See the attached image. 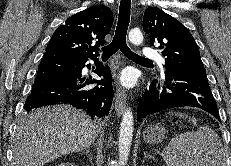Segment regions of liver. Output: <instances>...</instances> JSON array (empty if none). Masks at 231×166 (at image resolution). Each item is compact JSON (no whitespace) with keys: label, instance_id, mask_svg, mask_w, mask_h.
Returning <instances> with one entry per match:
<instances>
[{"label":"liver","instance_id":"liver-1","mask_svg":"<svg viewBox=\"0 0 231 166\" xmlns=\"http://www.w3.org/2000/svg\"><path fill=\"white\" fill-rule=\"evenodd\" d=\"M96 136L91 118L69 105L34 110L17 128L13 166H43L63 155L87 149Z\"/></svg>","mask_w":231,"mask_h":166}]
</instances>
